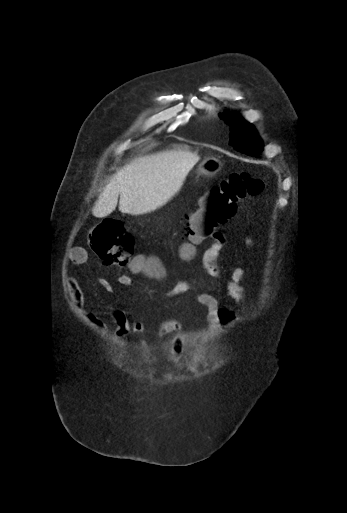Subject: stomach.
I'll return each mask as SVG.
<instances>
[{
	"label": "stomach",
	"instance_id": "0dacf381",
	"mask_svg": "<svg viewBox=\"0 0 347 513\" xmlns=\"http://www.w3.org/2000/svg\"><path fill=\"white\" fill-rule=\"evenodd\" d=\"M221 169V163L216 158H207L198 167L199 174L213 176Z\"/></svg>",
	"mask_w": 347,
	"mask_h": 513
}]
</instances>
